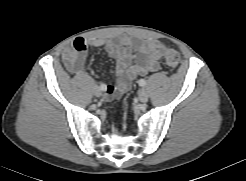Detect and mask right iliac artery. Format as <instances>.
Masks as SVG:
<instances>
[{
  "instance_id": "right-iliac-artery-1",
  "label": "right iliac artery",
  "mask_w": 246,
  "mask_h": 181,
  "mask_svg": "<svg viewBox=\"0 0 246 181\" xmlns=\"http://www.w3.org/2000/svg\"><path fill=\"white\" fill-rule=\"evenodd\" d=\"M100 89H101L102 91H104V90H105V85L101 84V85H100Z\"/></svg>"
}]
</instances>
